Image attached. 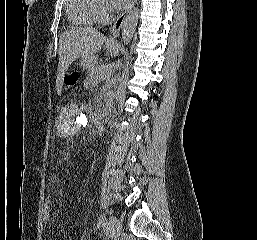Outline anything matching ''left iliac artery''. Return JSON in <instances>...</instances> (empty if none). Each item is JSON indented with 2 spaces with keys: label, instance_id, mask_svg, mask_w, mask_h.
I'll return each mask as SVG.
<instances>
[{
  "label": "left iliac artery",
  "instance_id": "1",
  "mask_svg": "<svg viewBox=\"0 0 257 240\" xmlns=\"http://www.w3.org/2000/svg\"><path fill=\"white\" fill-rule=\"evenodd\" d=\"M105 221H106L105 215L101 214V216L99 217V220H98L97 227L99 228L100 226H102L105 223Z\"/></svg>",
  "mask_w": 257,
  "mask_h": 240
}]
</instances>
